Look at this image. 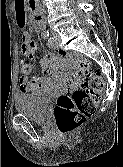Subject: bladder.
I'll list each match as a JSON object with an SVG mask.
<instances>
[{
	"mask_svg": "<svg viewBox=\"0 0 123 167\" xmlns=\"http://www.w3.org/2000/svg\"><path fill=\"white\" fill-rule=\"evenodd\" d=\"M52 104V98L47 96L18 95L15 99L18 114L36 123L48 120Z\"/></svg>",
	"mask_w": 123,
	"mask_h": 167,
	"instance_id": "31cf9c89",
	"label": "bladder"
}]
</instances>
